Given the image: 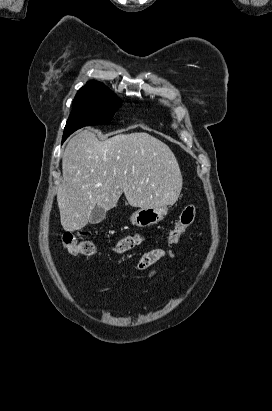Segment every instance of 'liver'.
Segmentation results:
<instances>
[{"label": "liver", "mask_w": 272, "mask_h": 411, "mask_svg": "<svg viewBox=\"0 0 272 411\" xmlns=\"http://www.w3.org/2000/svg\"><path fill=\"white\" fill-rule=\"evenodd\" d=\"M62 173L57 202L68 232L85 227L95 206L116 207L122 193L132 207L153 208L174 204L182 189L174 153L145 132L100 141L80 131L62 154Z\"/></svg>", "instance_id": "6515ba94"}]
</instances>
